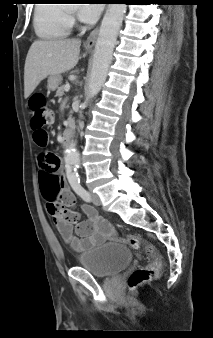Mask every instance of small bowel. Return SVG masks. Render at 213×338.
<instances>
[{"label": "small bowel", "instance_id": "1", "mask_svg": "<svg viewBox=\"0 0 213 338\" xmlns=\"http://www.w3.org/2000/svg\"><path fill=\"white\" fill-rule=\"evenodd\" d=\"M48 165L53 168H58L60 165L59 158L53 154L46 153ZM57 171V170H56ZM57 174V173H56ZM41 186L46 189V181L43 173L40 172ZM58 184L63 190V205L65 213H57L54 217L56 227L64 241L76 253H82L95 245L101 244L113 237L111 224L100 217L97 211L90 205L84 204L81 207L82 212L86 215L85 220L79 219V214L74 211L76 204L75 195L68 190L67 182L62 171L59 172ZM67 212H74L77 215L76 222H70L65 218Z\"/></svg>", "mask_w": 213, "mask_h": 338}]
</instances>
